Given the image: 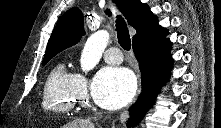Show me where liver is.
Wrapping results in <instances>:
<instances>
[{
	"mask_svg": "<svg viewBox=\"0 0 221 128\" xmlns=\"http://www.w3.org/2000/svg\"><path fill=\"white\" fill-rule=\"evenodd\" d=\"M63 128H94V124L89 120L75 119L72 122L66 124Z\"/></svg>",
	"mask_w": 221,
	"mask_h": 128,
	"instance_id": "liver-1",
	"label": "liver"
}]
</instances>
